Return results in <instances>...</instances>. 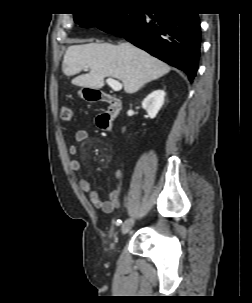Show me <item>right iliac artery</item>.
I'll use <instances>...</instances> for the list:
<instances>
[{"label": "right iliac artery", "instance_id": "1", "mask_svg": "<svg viewBox=\"0 0 252 303\" xmlns=\"http://www.w3.org/2000/svg\"><path fill=\"white\" fill-rule=\"evenodd\" d=\"M121 222H122L121 220H117V222H116V223H117V224H120Z\"/></svg>", "mask_w": 252, "mask_h": 303}]
</instances>
